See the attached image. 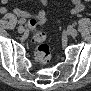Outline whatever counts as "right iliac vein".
Segmentation results:
<instances>
[{"mask_svg": "<svg viewBox=\"0 0 91 91\" xmlns=\"http://www.w3.org/2000/svg\"><path fill=\"white\" fill-rule=\"evenodd\" d=\"M25 31V28L23 26L18 27V32L23 33Z\"/></svg>", "mask_w": 91, "mask_h": 91, "instance_id": "right-iliac-vein-1", "label": "right iliac vein"}]
</instances>
